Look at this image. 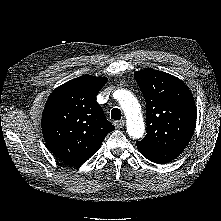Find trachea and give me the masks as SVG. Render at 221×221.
<instances>
[{"label":"trachea","mask_w":221,"mask_h":221,"mask_svg":"<svg viewBox=\"0 0 221 221\" xmlns=\"http://www.w3.org/2000/svg\"><path fill=\"white\" fill-rule=\"evenodd\" d=\"M111 118L114 120H120L121 119V111L118 108H113L111 111Z\"/></svg>","instance_id":"3493384b"}]
</instances>
